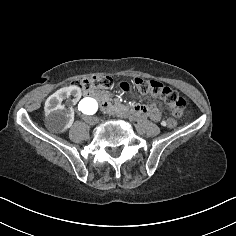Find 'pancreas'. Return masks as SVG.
Here are the masks:
<instances>
[{"label":"pancreas","instance_id":"1","mask_svg":"<svg viewBox=\"0 0 236 236\" xmlns=\"http://www.w3.org/2000/svg\"><path fill=\"white\" fill-rule=\"evenodd\" d=\"M102 94H103V97H104L105 99H107V98L110 97V94H109L108 91H104Z\"/></svg>","mask_w":236,"mask_h":236}]
</instances>
